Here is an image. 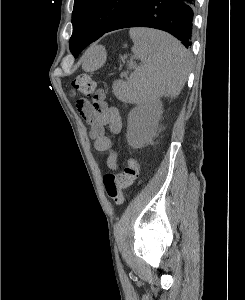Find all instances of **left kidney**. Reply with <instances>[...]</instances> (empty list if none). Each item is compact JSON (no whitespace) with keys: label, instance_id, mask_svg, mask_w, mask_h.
I'll return each mask as SVG.
<instances>
[{"label":"left kidney","instance_id":"obj_1","mask_svg":"<svg viewBox=\"0 0 245 300\" xmlns=\"http://www.w3.org/2000/svg\"><path fill=\"white\" fill-rule=\"evenodd\" d=\"M160 104L140 105L128 115L127 141L132 147L141 146L153 136L162 114Z\"/></svg>","mask_w":245,"mask_h":300}]
</instances>
